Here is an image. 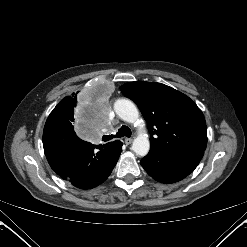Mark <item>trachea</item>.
<instances>
[{"label": "trachea", "mask_w": 247, "mask_h": 247, "mask_svg": "<svg viewBox=\"0 0 247 247\" xmlns=\"http://www.w3.org/2000/svg\"><path fill=\"white\" fill-rule=\"evenodd\" d=\"M131 134H132V132H131L130 128L127 127V126H125V125H123V126L118 130V132H117L116 135H104V136L102 137V140H103V141H109V140H112L114 137H124V136H126V137L129 138V137L131 136Z\"/></svg>", "instance_id": "3493384b"}]
</instances>
